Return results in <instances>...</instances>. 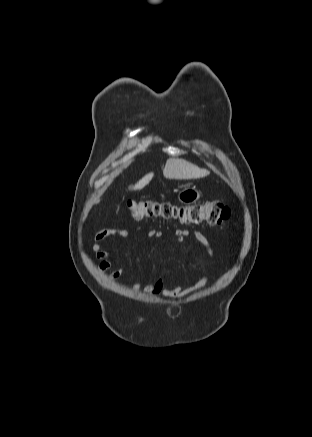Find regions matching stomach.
Here are the masks:
<instances>
[{"instance_id":"0dacf381","label":"stomach","mask_w":312,"mask_h":437,"mask_svg":"<svg viewBox=\"0 0 312 437\" xmlns=\"http://www.w3.org/2000/svg\"><path fill=\"white\" fill-rule=\"evenodd\" d=\"M201 197V192L195 187H184L177 195L179 202L184 204H192L198 201Z\"/></svg>"}]
</instances>
